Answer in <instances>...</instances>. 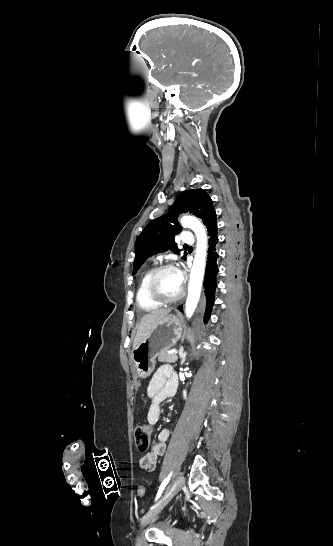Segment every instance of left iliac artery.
Returning a JSON list of instances; mask_svg holds the SVG:
<instances>
[{
    "label": "left iliac artery",
    "mask_w": 333,
    "mask_h": 546,
    "mask_svg": "<svg viewBox=\"0 0 333 546\" xmlns=\"http://www.w3.org/2000/svg\"><path fill=\"white\" fill-rule=\"evenodd\" d=\"M171 475H172V473H170V474L163 480V482L161 483V485H160V487H159V490H158V493H157V495H156L155 501H157V500L160 498V496H161L163 490L165 489L166 485L168 484V482H169V480H170Z\"/></svg>",
    "instance_id": "obj_1"
}]
</instances>
